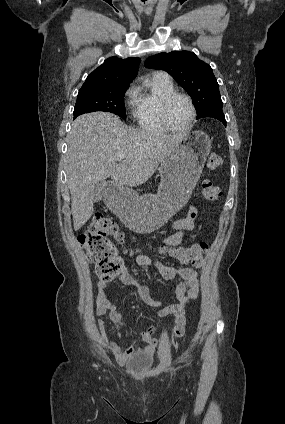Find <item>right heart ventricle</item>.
Masks as SVG:
<instances>
[{
  "label": "right heart ventricle",
  "mask_w": 285,
  "mask_h": 424,
  "mask_svg": "<svg viewBox=\"0 0 285 424\" xmlns=\"http://www.w3.org/2000/svg\"><path fill=\"white\" fill-rule=\"evenodd\" d=\"M174 91L171 80L158 74L135 88L133 117L142 131L150 134L169 132L161 121L160 105L162 100Z\"/></svg>",
  "instance_id": "1"
}]
</instances>
